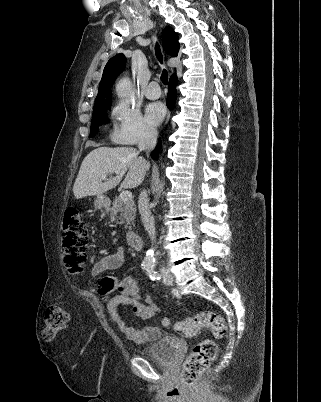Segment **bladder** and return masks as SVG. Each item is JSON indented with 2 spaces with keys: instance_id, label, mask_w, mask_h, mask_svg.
<instances>
[{
  "instance_id": "31cf9c89",
  "label": "bladder",
  "mask_w": 321,
  "mask_h": 402,
  "mask_svg": "<svg viewBox=\"0 0 321 402\" xmlns=\"http://www.w3.org/2000/svg\"><path fill=\"white\" fill-rule=\"evenodd\" d=\"M181 340L165 331H159L158 338L141 351V354L162 366L173 365L179 355Z\"/></svg>"
}]
</instances>
